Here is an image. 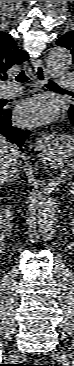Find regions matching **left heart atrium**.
<instances>
[{
	"mask_svg": "<svg viewBox=\"0 0 74 366\" xmlns=\"http://www.w3.org/2000/svg\"><path fill=\"white\" fill-rule=\"evenodd\" d=\"M56 106L48 97H34L17 107L16 117L22 124H43L52 121L56 116Z\"/></svg>",
	"mask_w": 74,
	"mask_h": 366,
	"instance_id": "39dd6f15",
	"label": "left heart atrium"
}]
</instances>
